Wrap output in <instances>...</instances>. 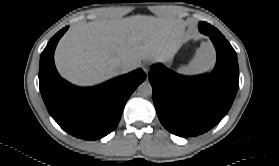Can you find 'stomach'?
Listing matches in <instances>:
<instances>
[{
  "label": "stomach",
  "instance_id": "stomach-1",
  "mask_svg": "<svg viewBox=\"0 0 279 166\" xmlns=\"http://www.w3.org/2000/svg\"><path fill=\"white\" fill-rule=\"evenodd\" d=\"M172 57H173V56H172ZM172 57L168 58L166 61H168V62L171 61V60H172Z\"/></svg>",
  "mask_w": 279,
  "mask_h": 166
}]
</instances>
